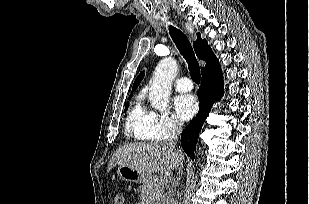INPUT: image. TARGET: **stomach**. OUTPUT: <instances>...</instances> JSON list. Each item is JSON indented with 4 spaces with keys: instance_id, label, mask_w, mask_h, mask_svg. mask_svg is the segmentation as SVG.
<instances>
[{
    "instance_id": "1",
    "label": "stomach",
    "mask_w": 309,
    "mask_h": 204,
    "mask_svg": "<svg viewBox=\"0 0 309 204\" xmlns=\"http://www.w3.org/2000/svg\"><path fill=\"white\" fill-rule=\"evenodd\" d=\"M116 173L123 181L139 184L144 183L150 176L147 173L140 172L126 165H118Z\"/></svg>"
}]
</instances>
